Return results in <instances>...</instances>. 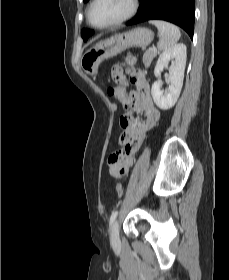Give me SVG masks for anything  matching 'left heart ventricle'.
I'll list each match as a JSON object with an SVG mask.
<instances>
[{
	"instance_id": "b2bd125f",
	"label": "left heart ventricle",
	"mask_w": 229,
	"mask_h": 280,
	"mask_svg": "<svg viewBox=\"0 0 229 280\" xmlns=\"http://www.w3.org/2000/svg\"><path fill=\"white\" fill-rule=\"evenodd\" d=\"M129 8L130 0H98L92 10V23L95 25L110 23L125 15Z\"/></svg>"
}]
</instances>
